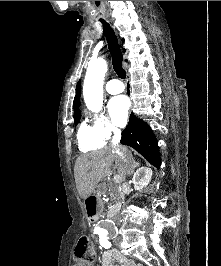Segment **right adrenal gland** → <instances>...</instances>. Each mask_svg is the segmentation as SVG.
<instances>
[{"instance_id": "right-adrenal-gland-1", "label": "right adrenal gland", "mask_w": 221, "mask_h": 266, "mask_svg": "<svg viewBox=\"0 0 221 266\" xmlns=\"http://www.w3.org/2000/svg\"><path fill=\"white\" fill-rule=\"evenodd\" d=\"M137 167H140V163H135L134 169L137 168ZM134 169L131 171L130 175H132L134 173Z\"/></svg>"}]
</instances>
